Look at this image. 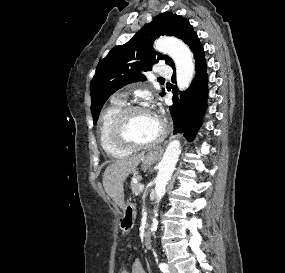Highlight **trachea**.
Segmentation results:
<instances>
[{
  "instance_id": "trachea-1",
  "label": "trachea",
  "mask_w": 285,
  "mask_h": 273,
  "mask_svg": "<svg viewBox=\"0 0 285 273\" xmlns=\"http://www.w3.org/2000/svg\"><path fill=\"white\" fill-rule=\"evenodd\" d=\"M159 80H160V81H164V79H163V78H160Z\"/></svg>"
}]
</instances>
